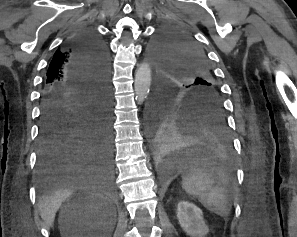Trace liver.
I'll return each mask as SVG.
<instances>
[{"label":"liver","instance_id":"1","mask_svg":"<svg viewBox=\"0 0 297 237\" xmlns=\"http://www.w3.org/2000/svg\"><path fill=\"white\" fill-rule=\"evenodd\" d=\"M90 177L84 175L66 176L61 186L44 196L39 201V211L42 220L49 229L53 226L56 213L62 202L73 194L76 189L87 188Z\"/></svg>","mask_w":297,"mask_h":237}]
</instances>
